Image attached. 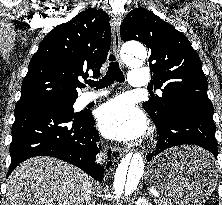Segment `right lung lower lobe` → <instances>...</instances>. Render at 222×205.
I'll list each match as a JSON object with an SVG mask.
<instances>
[{
  "label": "right lung lower lobe",
  "instance_id": "right-lung-lower-lobe-1",
  "mask_svg": "<svg viewBox=\"0 0 222 205\" xmlns=\"http://www.w3.org/2000/svg\"><path fill=\"white\" fill-rule=\"evenodd\" d=\"M10 144L11 164L7 177L22 161L35 156H51L67 161L99 182L102 166L96 155L99 135L91 114L74 116L53 106L15 108ZM101 148V145H99ZM111 150H108L110 159Z\"/></svg>",
  "mask_w": 222,
  "mask_h": 205
}]
</instances>
